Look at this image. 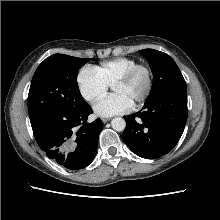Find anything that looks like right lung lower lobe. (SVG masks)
Returning a JSON list of instances; mask_svg holds the SVG:
<instances>
[{
    "mask_svg": "<svg viewBox=\"0 0 220 220\" xmlns=\"http://www.w3.org/2000/svg\"><path fill=\"white\" fill-rule=\"evenodd\" d=\"M92 112L87 105L76 112L55 109L30 119L39 147L50 159L67 169L88 166L96 155L98 137L103 128L99 118L87 123Z\"/></svg>",
    "mask_w": 220,
    "mask_h": 220,
    "instance_id": "obj_1",
    "label": "right lung lower lobe"
}]
</instances>
